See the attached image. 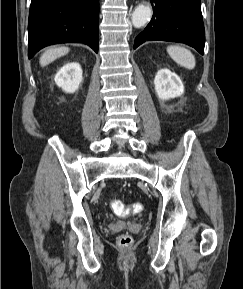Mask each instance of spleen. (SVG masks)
<instances>
[{"label":"spleen","mask_w":243,"mask_h":289,"mask_svg":"<svg viewBox=\"0 0 243 289\" xmlns=\"http://www.w3.org/2000/svg\"><path fill=\"white\" fill-rule=\"evenodd\" d=\"M167 52L170 57L180 66L187 69H194L196 61L190 50L178 45H171L167 47Z\"/></svg>","instance_id":"spleen-1"}]
</instances>
